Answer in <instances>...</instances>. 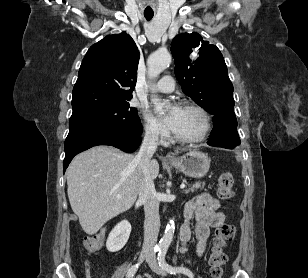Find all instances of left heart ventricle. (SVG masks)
I'll return each mask as SVG.
<instances>
[{
	"label": "left heart ventricle",
	"instance_id": "1",
	"mask_svg": "<svg viewBox=\"0 0 308 278\" xmlns=\"http://www.w3.org/2000/svg\"><path fill=\"white\" fill-rule=\"evenodd\" d=\"M203 128L201 116L193 111L182 109L175 133L181 136L191 137L198 135Z\"/></svg>",
	"mask_w": 308,
	"mask_h": 278
}]
</instances>
